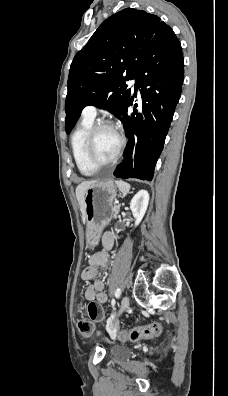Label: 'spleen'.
Here are the masks:
<instances>
[{
    "instance_id": "spleen-1",
    "label": "spleen",
    "mask_w": 228,
    "mask_h": 396,
    "mask_svg": "<svg viewBox=\"0 0 228 396\" xmlns=\"http://www.w3.org/2000/svg\"><path fill=\"white\" fill-rule=\"evenodd\" d=\"M116 184L119 188V190L122 192L123 196H126L131 188L130 184L127 182H124L122 180H117Z\"/></svg>"
}]
</instances>
